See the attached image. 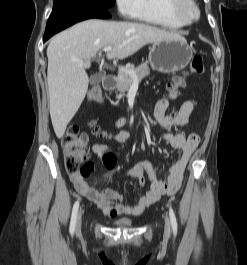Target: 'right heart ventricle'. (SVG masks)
<instances>
[{
  "instance_id": "e07e8e85",
  "label": "right heart ventricle",
  "mask_w": 247,
  "mask_h": 265,
  "mask_svg": "<svg viewBox=\"0 0 247 265\" xmlns=\"http://www.w3.org/2000/svg\"><path fill=\"white\" fill-rule=\"evenodd\" d=\"M172 0H139L134 18L169 29H179L185 24L171 9Z\"/></svg>"
}]
</instances>
